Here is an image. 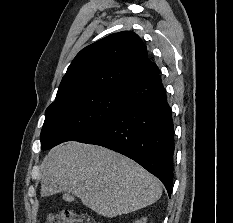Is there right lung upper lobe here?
Segmentation results:
<instances>
[{
    "label": "right lung upper lobe",
    "instance_id": "right-lung-upper-lobe-1",
    "mask_svg": "<svg viewBox=\"0 0 233 223\" xmlns=\"http://www.w3.org/2000/svg\"><path fill=\"white\" fill-rule=\"evenodd\" d=\"M158 74L140 37L123 31L82 49L62 78L56 98L91 89L122 90Z\"/></svg>",
    "mask_w": 233,
    "mask_h": 223
}]
</instances>
